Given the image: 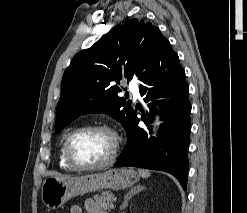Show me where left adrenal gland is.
Masks as SVG:
<instances>
[{"instance_id":"obj_1","label":"left adrenal gland","mask_w":247,"mask_h":213,"mask_svg":"<svg viewBox=\"0 0 247 213\" xmlns=\"http://www.w3.org/2000/svg\"><path fill=\"white\" fill-rule=\"evenodd\" d=\"M145 187L144 186H141V185H137V186H134L132 187L129 192L124 196V201H123V204L122 206L120 207L121 210L125 209L128 205V201L135 195L137 194L138 192L144 190Z\"/></svg>"}]
</instances>
